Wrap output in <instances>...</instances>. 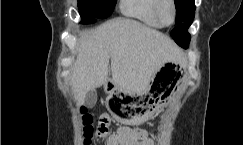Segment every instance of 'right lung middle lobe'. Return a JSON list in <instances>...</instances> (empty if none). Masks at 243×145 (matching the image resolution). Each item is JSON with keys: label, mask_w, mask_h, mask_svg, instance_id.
<instances>
[{"label": "right lung middle lobe", "mask_w": 243, "mask_h": 145, "mask_svg": "<svg viewBox=\"0 0 243 145\" xmlns=\"http://www.w3.org/2000/svg\"><path fill=\"white\" fill-rule=\"evenodd\" d=\"M117 0H78V8L98 19L111 15ZM83 23V22H82Z\"/></svg>", "instance_id": "obj_1"}]
</instances>
